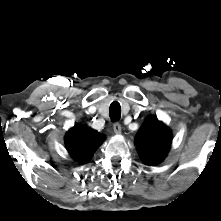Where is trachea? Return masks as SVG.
Segmentation results:
<instances>
[{
    "instance_id": "1",
    "label": "trachea",
    "mask_w": 221,
    "mask_h": 221,
    "mask_svg": "<svg viewBox=\"0 0 221 221\" xmlns=\"http://www.w3.org/2000/svg\"><path fill=\"white\" fill-rule=\"evenodd\" d=\"M109 115L112 121H117L121 116V106L117 101L111 103L109 108Z\"/></svg>"
}]
</instances>
